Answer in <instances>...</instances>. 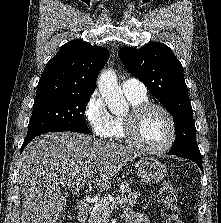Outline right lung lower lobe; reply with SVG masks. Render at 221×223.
Returning <instances> with one entry per match:
<instances>
[{"mask_svg":"<svg viewBox=\"0 0 221 223\" xmlns=\"http://www.w3.org/2000/svg\"><path fill=\"white\" fill-rule=\"evenodd\" d=\"M33 138H34V137H33ZM33 138H26V139L24 140L20 152L23 151V149L25 148V146H26V145H27Z\"/></svg>","mask_w":221,"mask_h":223,"instance_id":"right-lung-lower-lobe-1","label":"right lung lower lobe"}]
</instances>
